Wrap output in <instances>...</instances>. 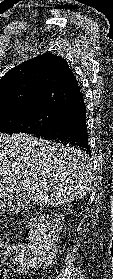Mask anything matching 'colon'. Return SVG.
Here are the masks:
<instances>
[{"instance_id":"1","label":"colon","mask_w":113,"mask_h":279,"mask_svg":"<svg viewBox=\"0 0 113 279\" xmlns=\"http://www.w3.org/2000/svg\"><path fill=\"white\" fill-rule=\"evenodd\" d=\"M54 238L47 222L43 218H34L27 224V244L20 248L10 249L0 241V275L1 265L5 270L9 266L18 271L23 270L25 263L30 260H41L54 253Z\"/></svg>"}]
</instances>
